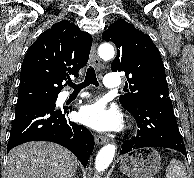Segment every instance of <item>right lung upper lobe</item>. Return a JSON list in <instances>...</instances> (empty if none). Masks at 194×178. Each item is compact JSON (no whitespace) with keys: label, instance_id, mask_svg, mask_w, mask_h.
<instances>
[{"label":"right lung upper lobe","instance_id":"right-lung-upper-lobe-1","mask_svg":"<svg viewBox=\"0 0 194 178\" xmlns=\"http://www.w3.org/2000/svg\"><path fill=\"white\" fill-rule=\"evenodd\" d=\"M91 45L92 36L67 20L43 32L23 60L17 104L58 97L62 82L86 65Z\"/></svg>","mask_w":194,"mask_h":178}]
</instances>
